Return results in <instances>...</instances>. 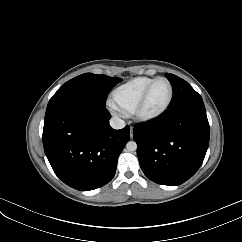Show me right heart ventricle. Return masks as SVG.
Masks as SVG:
<instances>
[{
  "label": "right heart ventricle",
  "mask_w": 242,
  "mask_h": 242,
  "mask_svg": "<svg viewBox=\"0 0 242 242\" xmlns=\"http://www.w3.org/2000/svg\"><path fill=\"white\" fill-rule=\"evenodd\" d=\"M154 78L137 77L119 87L112 93L115 107L125 114H131L141 94Z\"/></svg>",
  "instance_id": "e07e8e85"
}]
</instances>
